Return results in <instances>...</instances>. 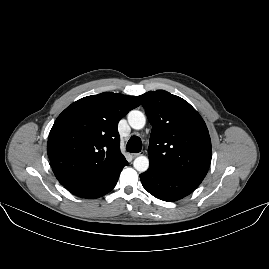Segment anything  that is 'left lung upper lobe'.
Returning <instances> with one entry per match:
<instances>
[{"mask_svg": "<svg viewBox=\"0 0 269 269\" xmlns=\"http://www.w3.org/2000/svg\"><path fill=\"white\" fill-rule=\"evenodd\" d=\"M152 124L150 167L203 180L211 162V140L205 122L184 99L164 90L137 97Z\"/></svg>", "mask_w": 269, "mask_h": 269, "instance_id": "1", "label": "left lung upper lobe"}]
</instances>
